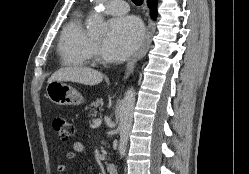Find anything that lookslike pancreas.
<instances>
[{"label":"pancreas","instance_id":"pancreas-1","mask_svg":"<svg viewBox=\"0 0 249 174\" xmlns=\"http://www.w3.org/2000/svg\"><path fill=\"white\" fill-rule=\"evenodd\" d=\"M102 105V99H97L96 101L92 102L86 109H89L90 115L94 117L97 114V108H99L100 111L102 110Z\"/></svg>","mask_w":249,"mask_h":174}]
</instances>
